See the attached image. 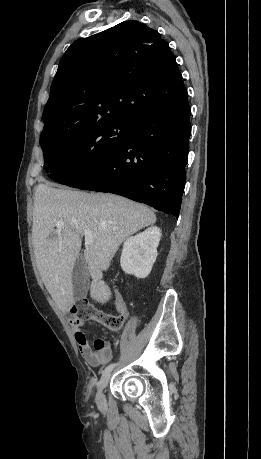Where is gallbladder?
I'll use <instances>...</instances> for the list:
<instances>
[{
  "label": "gallbladder",
  "mask_w": 261,
  "mask_h": 459,
  "mask_svg": "<svg viewBox=\"0 0 261 459\" xmlns=\"http://www.w3.org/2000/svg\"><path fill=\"white\" fill-rule=\"evenodd\" d=\"M86 264L85 255L81 253L75 263L72 274L73 294L76 299H79L86 294L89 278Z\"/></svg>",
  "instance_id": "obj_1"
}]
</instances>
